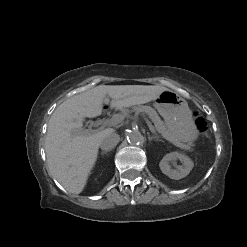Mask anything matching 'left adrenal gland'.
Segmentation results:
<instances>
[{"label": "left adrenal gland", "instance_id": "a2214340", "mask_svg": "<svg viewBox=\"0 0 247 247\" xmlns=\"http://www.w3.org/2000/svg\"><path fill=\"white\" fill-rule=\"evenodd\" d=\"M148 140H149V141H152V140L159 141V139H158L157 136H150V135H148Z\"/></svg>", "mask_w": 247, "mask_h": 247}]
</instances>
